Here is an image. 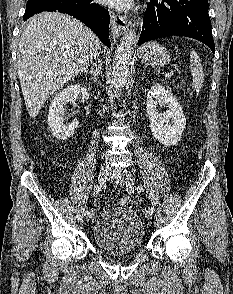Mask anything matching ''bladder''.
Instances as JSON below:
<instances>
[{
	"instance_id": "bladder-1",
	"label": "bladder",
	"mask_w": 233,
	"mask_h": 294,
	"mask_svg": "<svg viewBox=\"0 0 233 294\" xmlns=\"http://www.w3.org/2000/svg\"><path fill=\"white\" fill-rule=\"evenodd\" d=\"M141 219L130 208L112 207L105 210L93 229V240L102 251L112 255L136 252L144 242Z\"/></svg>"
}]
</instances>
